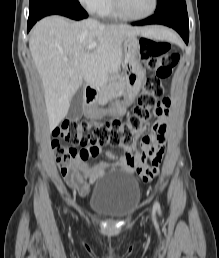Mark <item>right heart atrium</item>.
Segmentation results:
<instances>
[{"instance_id":"d8ad5b80","label":"right heart atrium","mask_w":219,"mask_h":258,"mask_svg":"<svg viewBox=\"0 0 219 258\" xmlns=\"http://www.w3.org/2000/svg\"><path fill=\"white\" fill-rule=\"evenodd\" d=\"M79 3L87 10L89 13L96 14L99 13L106 0H78Z\"/></svg>"}]
</instances>
